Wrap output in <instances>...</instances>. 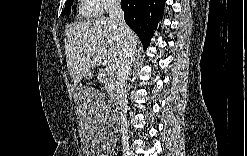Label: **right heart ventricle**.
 <instances>
[{
  "mask_svg": "<svg viewBox=\"0 0 247 156\" xmlns=\"http://www.w3.org/2000/svg\"><path fill=\"white\" fill-rule=\"evenodd\" d=\"M79 11L83 16L86 17H92L97 14L96 6L91 1L82 2Z\"/></svg>",
  "mask_w": 247,
  "mask_h": 156,
  "instance_id": "obj_1",
  "label": "right heart ventricle"
}]
</instances>
